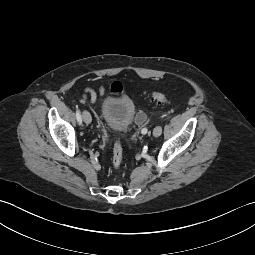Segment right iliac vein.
Returning a JSON list of instances; mask_svg holds the SVG:
<instances>
[{"instance_id":"1","label":"right iliac vein","mask_w":255,"mask_h":255,"mask_svg":"<svg viewBox=\"0 0 255 255\" xmlns=\"http://www.w3.org/2000/svg\"><path fill=\"white\" fill-rule=\"evenodd\" d=\"M83 120L86 124H90L92 121L91 115L88 111H83L82 113Z\"/></svg>"}]
</instances>
